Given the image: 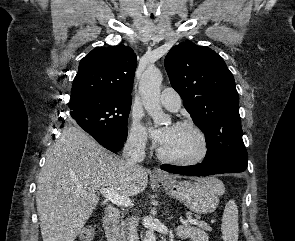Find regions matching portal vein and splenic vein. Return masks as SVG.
I'll return each mask as SVG.
<instances>
[{"mask_svg":"<svg viewBox=\"0 0 295 241\" xmlns=\"http://www.w3.org/2000/svg\"><path fill=\"white\" fill-rule=\"evenodd\" d=\"M100 192L107 200L111 201L113 204H116L117 206H132V200L130 198L119 195L113 189L102 188L100 189ZM186 222L193 225L199 224L198 220L192 218H188Z\"/></svg>","mask_w":295,"mask_h":241,"instance_id":"18ae733b","label":"portal vein and splenic vein"}]
</instances>
